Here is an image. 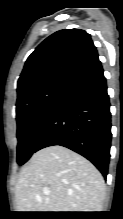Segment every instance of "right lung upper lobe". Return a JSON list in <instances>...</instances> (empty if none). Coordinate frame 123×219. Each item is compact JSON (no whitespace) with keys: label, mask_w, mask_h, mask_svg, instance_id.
<instances>
[{"label":"right lung upper lobe","mask_w":123,"mask_h":219,"mask_svg":"<svg viewBox=\"0 0 123 219\" xmlns=\"http://www.w3.org/2000/svg\"><path fill=\"white\" fill-rule=\"evenodd\" d=\"M90 34L81 29H63L46 38L28 57L17 83L18 99L52 82H68L98 61Z\"/></svg>","instance_id":"right-lung-upper-lobe-1"}]
</instances>
